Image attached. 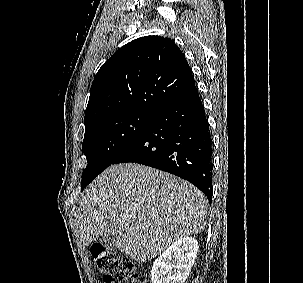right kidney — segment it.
<instances>
[{"label":"right kidney","mask_w":303,"mask_h":283,"mask_svg":"<svg viewBox=\"0 0 303 283\" xmlns=\"http://www.w3.org/2000/svg\"><path fill=\"white\" fill-rule=\"evenodd\" d=\"M198 242L182 237L169 246L153 263L152 283H184L195 262Z\"/></svg>","instance_id":"1"}]
</instances>
